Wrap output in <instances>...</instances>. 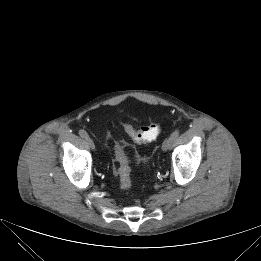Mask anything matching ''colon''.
<instances>
[{
    "instance_id": "obj_1",
    "label": "colon",
    "mask_w": 261,
    "mask_h": 261,
    "mask_svg": "<svg viewBox=\"0 0 261 261\" xmlns=\"http://www.w3.org/2000/svg\"><path fill=\"white\" fill-rule=\"evenodd\" d=\"M123 128L127 135L138 143L152 141L160 133V125L154 122L139 129H135L131 124L125 123ZM113 170L119 180L120 188L123 190L130 189L132 186L131 168L121 145H116L115 147Z\"/></svg>"
}]
</instances>
